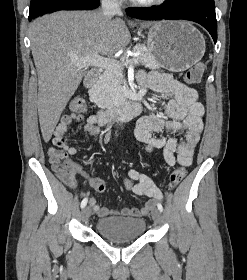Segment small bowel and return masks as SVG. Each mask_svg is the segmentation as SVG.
<instances>
[{
	"instance_id": "c3829d8e",
	"label": "small bowel",
	"mask_w": 247,
	"mask_h": 280,
	"mask_svg": "<svg viewBox=\"0 0 247 280\" xmlns=\"http://www.w3.org/2000/svg\"><path fill=\"white\" fill-rule=\"evenodd\" d=\"M137 79L141 85L151 89L154 93L170 96L171 99L165 108V116L150 112L138 121L135 128L136 139L144 144H151L153 150L162 149L164 159L169 166H174L175 164L184 167L190 166L203 130L204 107L197 101L196 90L173 79L169 74L156 71L150 73L140 71ZM80 120H83L80 115L66 114L61 118L53 132V144L70 155L75 154L76 149L70 145L66 134L71 123ZM83 130L90 136L100 135L101 124L98 118L96 116L87 118L83 124ZM155 133H165V135L156 136L154 135ZM182 135L184 139L178 141V136ZM76 175L87 179L90 186L97 192L103 193L105 191L104 181L98 177L90 176L78 164H73L72 177L62 180L69 188L74 189L76 187ZM128 176L133 181V186L129 189L133 193L151 199L161 197L159 188L146 174L132 169L129 171ZM152 204V201H150L142 208H123L118 210L102 206L93 197L89 199V208L99 217L113 215L141 217L149 212Z\"/></svg>"
}]
</instances>
